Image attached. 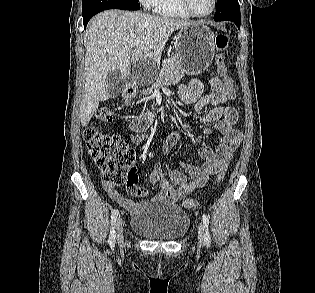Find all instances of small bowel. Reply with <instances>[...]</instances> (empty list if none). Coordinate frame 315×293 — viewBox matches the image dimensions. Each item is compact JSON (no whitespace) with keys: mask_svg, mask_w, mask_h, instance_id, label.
<instances>
[{"mask_svg":"<svg viewBox=\"0 0 315 293\" xmlns=\"http://www.w3.org/2000/svg\"><path fill=\"white\" fill-rule=\"evenodd\" d=\"M220 79L219 77L210 79L211 91L207 94H204L203 84L198 78H193L187 85L179 87L180 98L185 103L194 105V110L199 118L204 122L214 123V130L219 133L220 143L215 151L206 148L198 151L202 161L200 166L180 163L182 171L170 169L169 179L164 173L163 165L158 163L149 176L150 184L160 187L158 193L152 197V202L174 203L203 187L211 175L216 174L222 167H227L240 145L242 135L235 128L238 121V112L234 107L226 105L227 102L235 98V94L225 92L224 85L220 84ZM207 107H209V110L203 112V109ZM203 131L210 134L213 130L204 128ZM180 135V130H175L169 135L161 149L163 155L171 151L178 142ZM145 139L146 137L142 133H135L130 136V142L133 145H139ZM104 188L112 200L132 214L140 212L149 203L146 200L135 203L121 195L111 184L104 183ZM148 195V190L142 189L139 196L148 197Z\"/></svg>","mask_w":315,"mask_h":293,"instance_id":"c3829d8e","label":"small bowel"}]
</instances>
